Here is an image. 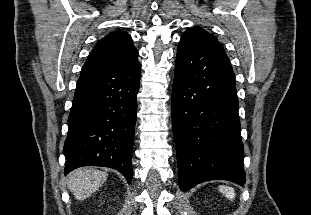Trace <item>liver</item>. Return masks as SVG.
Masks as SVG:
<instances>
[{
    "instance_id": "liver-1",
    "label": "liver",
    "mask_w": 311,
    "mask_h": 215,
    "mask_svg": "<svg viewBox=\"0 0 311 215\" xmlns=\"http://www.w3.org/2000/svg\"><path fill=\"white\" fill-rule=\"evenodd\" d=\"M107 176L94 168H78L69 174L67 185L77 200H84L104 184Z\"/></svg>"
}]
</instances>
